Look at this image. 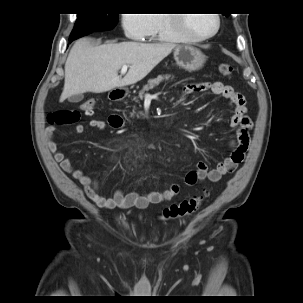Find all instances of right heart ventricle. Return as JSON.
Instances as JSON below:
<instances>
[{
	"mask_svg": "<svg viewBox=\"0 0 303 303\" xmlns=\"http://www.w3.org/2000/svg\"><path fill=\"white\" fill-rule=\"evenodd\" d=\"M152 27L147 37L167 42H183L186 40L181 31L172 23L170 14H153Z\"/></svg>",
	"mask_w": 303,
	"mask_h": 303,
	"instance_id": "e07e8e85",
	"label": "right heart ventricle"
}]
</instances>
